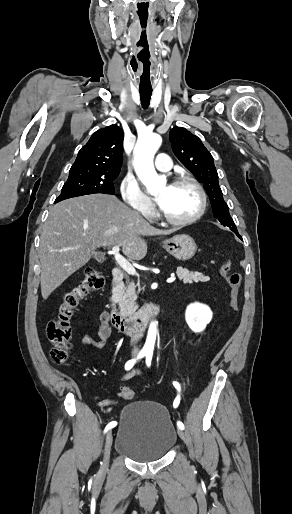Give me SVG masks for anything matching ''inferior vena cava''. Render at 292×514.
Masks as SVG:
<instances>
[{
  "instance_id": "1",
  "label": "inferior vena cava",
  "mask_w": 292,
  "mask_h": 514,
  "mask_svg": "<svg viewBox=\"0 0 292 514\" xmlns=\"http://www.w3.org/2000/svg\"><path fill=\"white\" fill-rule=\"evenodd\" d=\"M138 352H139L138 348H134L133 354H138Z\"/></svg>"
}]
</instances>
